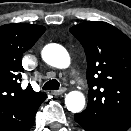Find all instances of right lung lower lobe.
Returning a JSON list of instances; mask_svg holds the SVG:
<instances>
[{"instance_id":"1","label":"right lung lower lobe","mask_w":131,"mask_h":131,"mask_svg":"<svg viewBox=\"0 0 131 131\" xmlns=\"http://www.w3.org/2000/svg\"><path fill=\"white\" fill-rule=\"evenodd\" d=\"M39 106L21 111L14 116H1L0 131H29L34 124V117Z\"/></svg>"}]
</instances>
